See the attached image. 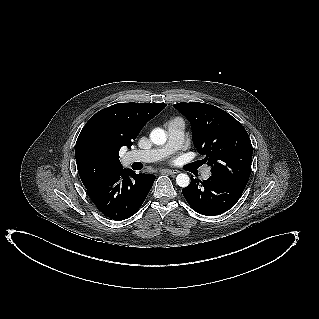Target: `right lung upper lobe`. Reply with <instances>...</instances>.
I'll list each match as a JSON object with an SVG mask.
<instances>
[{
  "label": "right lung upper lobe",
  "mask_w": 319,
  "mask_h": 319,
  "mask_svg": "<svg viewBox=\"0 0 319 319\" xmlns=\"http://www.w3.org/2000/svg\"><path fill=\"white\" fill-rule=\"evenodd\" d=\"M165 107L162 103H118L93 115L75 146L77 168L84 186L89 188L121 171L120 148H130L143 126Z\"/></svg>",
  "instance_id": "cb5924a9"
}]
</instances>
